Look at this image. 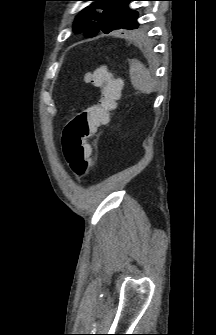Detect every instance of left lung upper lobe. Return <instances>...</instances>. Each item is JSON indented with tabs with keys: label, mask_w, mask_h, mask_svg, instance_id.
Segmentation results:
<instances>
[{
	"label": "left lung upper lobe",
	"mask_w": 216,
	"mask_h": 335,
	"mask_svg": "<svg viewBox=\"0 0 216 335\" xmlns=\"http://www.w3.org/2000/svg\"><path fill=\"white\" fill-rule=\"evenodd\" d=\"M94 1L76 16L73 31L93 37L116 29L134 30L139 27L138 13L128 8L134 0H90Z\"/></svg>",
	"instance_id": "1"
}]
</instances>
